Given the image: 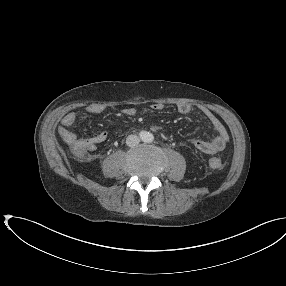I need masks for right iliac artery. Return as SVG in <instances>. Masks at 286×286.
Wrapping results in <instances>:
<instances>
[{"label":"right iliac artery","instance_id":"82829eb1","mask_svg":"<svg viewBox=\"0 0 286 286\" xmlns=\"http://www.w3.org/2000/svg\"><path fill=\"white\" fill-rule=\"evenodd\" d=\"M139 136H140V138H145V136H146V133L144 132V131H142V132H140V134H139Z\"/></svg>","mask_w":286,"mask_h":286}]
</instances>
